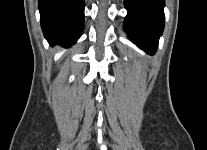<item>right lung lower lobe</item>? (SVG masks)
I'll return each instance as SVG.
<instances>
[{"instance_id":"right-lung-lower-lobe-1","label":"right lung lower lobe","mask_w":207,"mask_h":150,"mask_svg":"<svg viewBox=\"0 0 207 150\" xmlns=\"http://www.w3.org/2000/svg\"><path fill=\"white\" fill-rule=\"evenodd\" d=\"M41 27L51 43L71 46L84 28V0H38Z\"/></svg>"}]
</instances>
